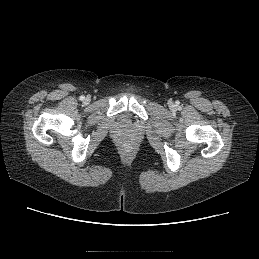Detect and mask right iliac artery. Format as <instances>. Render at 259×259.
Here are the masks:
<instances>
[{
    "label": "right iliac artery",
    "instance_id": "1",
    "mask_svg": "<svg viewBox=\"0 0 259 259\" xmlns=\"http://www.w3.org/2000/svg\"><path fill=\"white\" fill-rule=\"evenodd\" d=\"M85 99V97L84 96H80V100H84Z\"/></svg>",
    "mask_w": 259,
    "mask_h": 259
}]
</instances>
